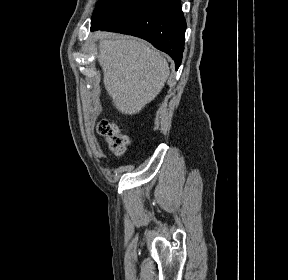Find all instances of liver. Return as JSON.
Instances as JSON below:
<instances>
[{"instance_id": "liver-1", "label": "liver", "mask_w": 288, "mask_h": 280, "mask_svg": "<svg viewBox=\"0 0 288 280\" xmlns=\"http://www.w3.org/2000/svg\"><path fill=\"white\" fill-rule=\"evenodd\" d=\"M98 39L97 59L113 105L122 114L139 113L164 87L170 73L166 59L142 40L109 39L106 33Z\"/></svg>"}]
</instances>
